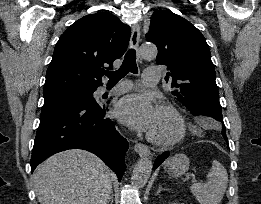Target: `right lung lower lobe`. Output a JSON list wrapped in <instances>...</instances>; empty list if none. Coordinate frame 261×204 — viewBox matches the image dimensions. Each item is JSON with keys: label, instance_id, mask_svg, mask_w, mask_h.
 Instances as JSON below:
<instances>
[{"label": "right lung lower lobe", "instance_id": "98d812e1", "mask_svg": "<svg viewBox=\"0 0 261 204\" xmlns=\"http://www.w3.org/2000/svg\"><path fill=\"white\" fill-rule=\"evenodd\" d=\"M106 110L94 98L44 104L34 141L31 172L55 153L84 149L101 158L121 180L129 145L112 121L105 118Z\"/></svg>", "mask_w": 261, "mask_h": 204}]
</instances>
